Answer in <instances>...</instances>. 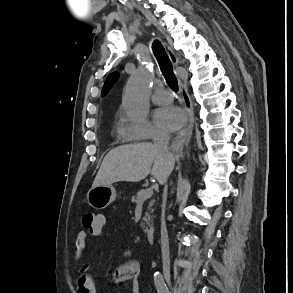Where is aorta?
I'll return each instance as SVG.
<instances>
[{"mask_svg":"<svg viewBox=\"0 0 293 293\" xmlns=\"http://www.w3.org/2000/svg\"><path fill=\"white\" fill-rule=\"evenodd\" d=\"M154 73L147 64L130 77L123 97L126 112L135 119H145L149 112L148 94Z\"/></svg>","mask_w":293,"mask_h":293,"instance_id":"762f6f07","label":"aorta"}]
</instances>
